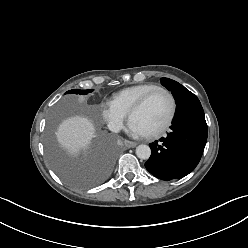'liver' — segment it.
I'll list each match as a JSON object with an SVG mask.
<instances>
[{"instance_id":"1","label":"liver","mask_w":248,"mask_h":248,"mask_svg":"<svg viewBox=\"0 0 248 248\" xmlns=\"http://www.w3.org/2000/svg\"><path fill=\"white\" fill-rule=\"evenodd\" d=\"M58 142L70 154L87 150L95 137V127L90 119L74 116L64 120L56 132Z\"/></svg>"}]
</instances>
